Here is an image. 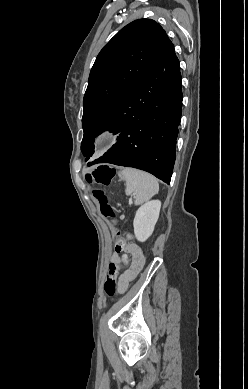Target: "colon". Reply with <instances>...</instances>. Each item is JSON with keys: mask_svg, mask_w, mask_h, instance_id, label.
<instances>
[{"mask_svg": "<svg viewBox=\"0 0 248 389\" xmlns=\"http://www.w3.org/2000/svg\"><path fill=\"white\" fill-rule=\"evenodd\" d=\"M115 177V173L112 169L107 167V163L103 162L102 166L97 167L93 171L87 174V181L92 184L100 185V186H109ZM96 196L101 204V211L105 216H113V211L109 206L107 199L102 191H97ZM131 236L128 235L126 239H119L115 245V250L120 252L123 250L124 244L127 239H130ZM128 255H123V264L128 263ZM121 269L120 265L110 264L109 271L106 277V281L104 284L105 293L111 297L118 291V283H117V275L119 270Z\"/></svg>", "mask_w": 248, "mask_h": 389, "instance_id": "obj_1", "label": "colon"}]
</instances>
